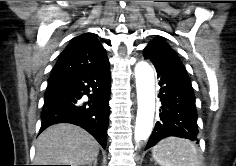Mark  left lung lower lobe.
Listing matches in <instances>:
<instances>
[{
	"label": "left lung lower lobe",
	"instance_id": "obj_1",
	"mask_svg": "<svg viewBox=\"0 0 236 166\" xmlns=\"http://www.w3.org/2000/svg\"><path fill=\"white\" fill-rule=\"evenodd\" d=\"M154 66L160 79L161 107L145 150L168 136L198 142L195 95L184 65L181 61H171Z\"/></svg>",
	"mask_w": 236,
	"mask_h": 166
}]
</instances>
